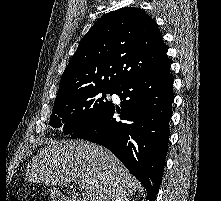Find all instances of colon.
Instances as JSON below:
<instances>
[{"label":"colon","instance_id":"colon-1","mask_svg":"<svg viewBox=\"0 0 221 201\" xmlns=\"http://www.w3.org/2000/svg\"><path fill=\"white\" fill-rule=\"evenodd\" d=\"M11 201H20L19 198H12Z\"/></svg>","mask_w":221,"mask_h":201}]
</instances>
